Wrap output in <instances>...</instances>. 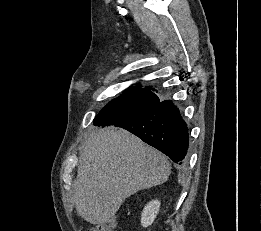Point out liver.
<instances>
[{
	"label": "liver",
	"instance_id": "liver-1",
	"mask_svg": "<svg viewBox=\"0 0 261 231\" xmlns=\"http://www.w3.org/2000/svg\"><path fill=\"white\" fill-rule=\"evenodd\" d=\"M171 165L161 152L124 129L90 134L79 156L73 184L79 216L91 224L109 221L126 198L164 183Z\"/></svg>",
	"mask_w": 261,
	"mask_h": 231
}]
</instances>
